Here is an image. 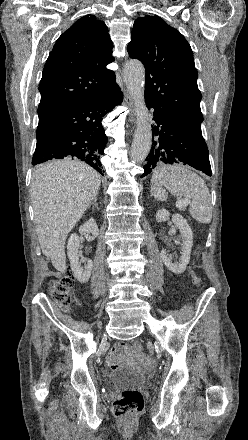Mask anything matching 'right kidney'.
Segmentation results:
<instances>
[{
  "instance_id": "right-kidney-1",
  "label": "right kidney",
  "mask_w": 248,
  "mask_h": 440,
  "mask_svg": "<svg viewBox=\"0 0 248 440\" xmlns=\"http://www.w3.org/2000/svg\"><path fill=\"white\" fill-rule=\"evenodd\" d=\"M79 232L90 233L94 237H97L99 234V229L96 224V221L93 218L89 219L82 226H80ZM79 249H80L79 237L77 234L74 233L68 239L67 254L75 278L80 283L84 284L87 283L90 278L91 271L93 268V263L92 260L90 259H83L82 262H85V266L82 267L81 266L82 262L79 260V258L82 257V252Z\"/></svg>"
}]
</instances>
